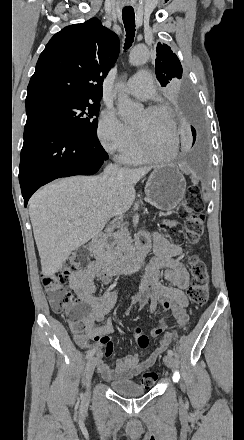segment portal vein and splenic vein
I'll return each mask as SVG.
<instances>
[{
	"label": "portal vein and splenic vein",
	"mask_w": 244,
	"mask_h": 440,
	"mask_svg": "<svg viewBox=\"0 0 244 440\" xmlns=\"http://www.w3.org/2000/svg\"><path fill=\"white\" fill-rule=\"evenodd\" d=\"M83 220H80V218H75V220H73L72 224H74V226H81Z\"/></svg>",
	"instance_id": "1"
}]
</instances>
